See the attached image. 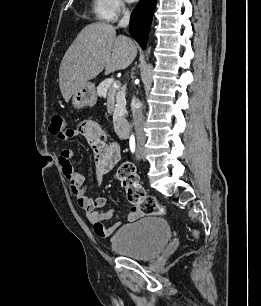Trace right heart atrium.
<instances>
[{
  "mask_svg": "<svg viewBox=\"0 0 261 306\" xmlns=\"http://www.w3.org/2000/svg\"><path fill=\"white\" fill-rule=\"evenodd\" d=\"M126 9V0H97L96 13L105 21H115Z\"/></svg>",
  "mask_w": 261,
  "mask_h": 306,
  "instance_id": "obj_1",
  "label": "right heart atrium"
}]
</instances>
